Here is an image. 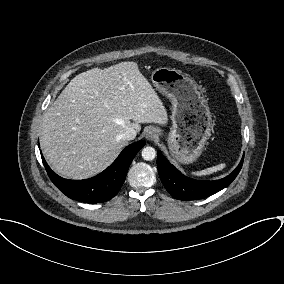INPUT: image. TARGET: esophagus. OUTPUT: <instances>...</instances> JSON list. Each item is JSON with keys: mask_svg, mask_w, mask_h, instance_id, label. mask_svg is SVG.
Returning <instances> with one entry per match:
<instances>
[{"mask_svg": "<svg viewBox=\"0 0 284 284\" xmlns=\"http://www.w3.org/2000/svg\"><path fill=\"white\" fill-rule=\"evenodd\" d=\"M145 137L148 140H153L158 137L157 130L155 128H149L146 130Z\"/></svg>", "mask_w": 284, "mask_h": 284, "instance_id": "esophagus-1", "label": "esophagus"}]
</instances>
